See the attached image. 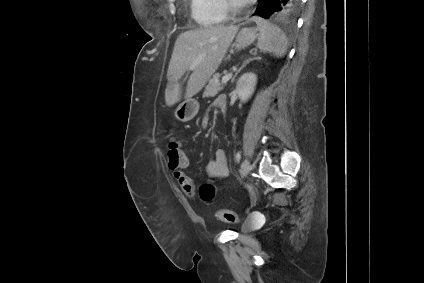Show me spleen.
I'll list each match as a JSON object with an SVG mask.
<instances>
[{
  "mask_svg": "<svg viewBox=\"0 0 424 283\" xmlns=\"http://www.w3.org/2000/svg\"><path fill=\"white\" fill-rule=\"evenodd\" d=\"M259 31L258 47L260 50L282 57L288 46V39L280 28L263 19H257Z\"/></svg>",
  "mask_w": 424,
  "mask_h": 283,
  "instance_id": "obj_1",
  "label": "spleen"
}]
</instances>
